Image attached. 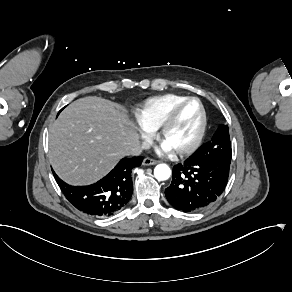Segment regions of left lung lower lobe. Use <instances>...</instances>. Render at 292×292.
Returning <instances> with one entry per match:
<instances>
[{"instance_id":"0a47b994","label":"left lung lower lobe","mask_w":292,"mask_h":292,"mask_svg":"<svg viewBox=\"0 0 292 292\" xmlns=\"http://www.w3.org/2000/svg\"><path fill=\"white\" fill-rule=\"evenodd\" d=\"M231 161L203 160L195 154L173 168L172 182L165 189L168 202L190 213L211 205L224 191Z\"/></svg>"}]
</instances>
